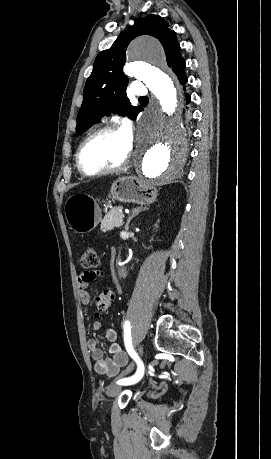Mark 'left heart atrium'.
I'll return each mask as SVG.
<instances>
[{
    "label": "left heart atrium",
    "instance_id": "1",
    "mask_svg": "<svg viewBox=\"0 0 271 459\" xmlns=\"http://www.w3.org/2000/svg\"><path fill=\"white\" fill-rule=\"evenodd\" d=\"M122 132L124 133V135L126 136V138L132 146L135 138L134 126L130 122H125L123 125Z\"/></svg>",
    "mask_w": 271,
    "mask_h": 459
}]
</instances>
